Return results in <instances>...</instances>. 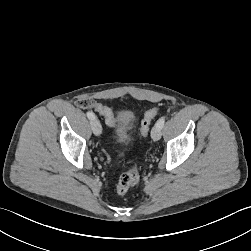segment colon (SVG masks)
Listing matches in <instances>:
<instances>
[{"label":"colon","mask_w":251,"mask_h":251,"mask_svg":"<svg viewBox=\"0 0 251 251\" xmlns=\"http://www.w3.org/2000/svg\"><path fill=\"white\" fill-rule=\"evenodd\" d=\"M89 112H96L102 116L105 120V123L110 128H115L118 125V116L114 113V109L111 106H106L102 104L100 101H95L91 108L88 109ZM159 108H152L148 110L142 121L140 126V132L142 137H147L150 131V126L152 120L157 116L159 113ZM140 180V172L138 167L132 166L126 172H124L117 183V192L119 194H125L128 190L138 184Z\"/></svg>","instance_id":"1"}]
</instances>
